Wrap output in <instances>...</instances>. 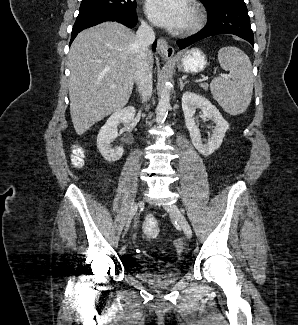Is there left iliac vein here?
<instances>
[{
	"label": "left iliac vein",
	"mask_w": 298,
	"mask_h": 325,
	"mask_svg": "<svg viewBox=\"0 0 298 325\" xmlns=\"http://www.w3.org/2000/svg\"><path fill=\"white\" fill-rule=\"evenodd\" d=\"M165 209L169 212L172 217L177 220L186 237L190 239L192 237L191 227L184 215L178 209V207L175 204H168L165 206Z\"/></svg>",
	"instance_id": "left-iliac-vein-1"
}]
</instances>
